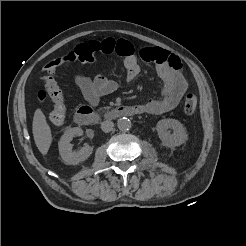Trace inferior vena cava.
Segmentation results:
<instances>
[{
  "instance_id": "602c4592",
  "label": "inferior vena cava",
  "mask_w": 246,
  "mask_h": 246,
  "mask_svg": "<svg viewBox=\"0 0 246 246\" xmlns=\"http://www.w3.org/2000/svg\"><path fill=\"white\" fill-rule=\"evenodd\" d=\"M114 123L112 121H104L101 123V129L103 132H110L113 130Z\"/></svg>"
}]
</instances>
